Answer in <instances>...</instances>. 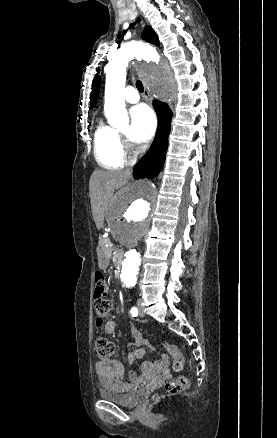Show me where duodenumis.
<instances>
[{
	"label": "duodenum",
	"mask_w": 277,
	"mask_h": 438,
	"mask_svg": "<svg viewBox=\"0 0 277 438\" xmlns=\"http://www.w3.org/2000/svg\"><path fill=\"white\" fill-rule=\"evenodd\" d=\"M113 259H114V263L117 266H121L123 259H124V253L122 251H116Z\"/></svg>",
	"instance_id": "duodenum-1"
}]
</instances>
